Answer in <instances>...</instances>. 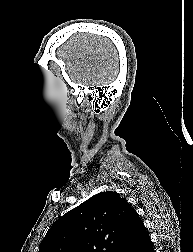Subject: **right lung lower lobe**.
<instances>
[{
  "label": "right lung lower lobe",
  "mask_w": 193,
  "mask_h": 252,
  "mask_svg": "<svg viewBox=\"0 0 193 252\" xmlns=\"http://www.w3.org/2000/svg\"><path fill=\"white\" fill-rule=\"evenodd\" d=\"M127 252H155L146 229L141 231L137 241Z\"/></svg>",
  "instance_id": "right-lung-lower-lobe-1"
}]
</instances>
